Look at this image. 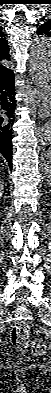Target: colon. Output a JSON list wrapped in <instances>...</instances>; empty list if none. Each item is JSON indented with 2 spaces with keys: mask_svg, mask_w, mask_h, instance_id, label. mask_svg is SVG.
I'll return each instance as SVG.
<instances>
[{
  "mask_svg": "<svg viewBox=\"0 0 51 393\" xmlns=\"http://www.w3.org/2000/svg\"><path fill=\"white\" fill-rule=\"evenodd\" d=\"M13 347L18 352H25L29 348L32 355L42 356L45 353L46 347L43 341L34 340L30 342V328L25 322H19L14 325L10 333Z\"/></svg>",
  "mask_w": 51,
  "mask_h": 393,
  "instance_id": "colon-1",
  "label": "colon"
}]
</instances>
